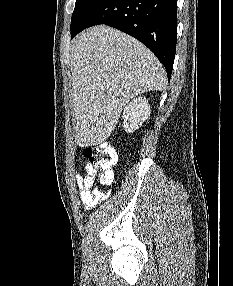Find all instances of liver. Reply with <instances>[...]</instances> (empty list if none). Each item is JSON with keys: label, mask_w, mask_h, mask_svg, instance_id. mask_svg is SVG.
Wrapping results in <instances>:
<instances>
[{"label": "liver", "mask_w": 233, "mask_h": 286, "mask_svg": "<svg viewBox=\"0 0 233 286\" xmlns=\"http://www.w3.org/2000/svg\"><path fill=\"white\" fill-rule=\"evenodd\" d=\"M70 69L75 141L82 147L103 143L133 97L166 84L165 69L149 49L105 25L74 39Z\"/></svg>", "instance_id": "liver-1"}]
</instances>
